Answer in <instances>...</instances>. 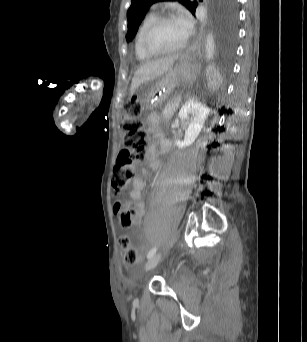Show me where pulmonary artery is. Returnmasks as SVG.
<instances>
[{"label":"pulmonary artery","mask_w":307,"mask_h":342,"mask_svg":"<svg viewBox=\"0 0 307 342\" xmlns=\"http://www.w3.org/2000/svg\"><path fill=\"white\" fill-rule=\"evenodd\" d=\"M152 9H156V5L155 4L152 5Z\"/></svg>","instance_id":"obj_1"}]
</instances>
